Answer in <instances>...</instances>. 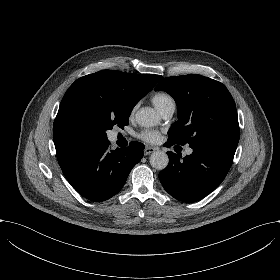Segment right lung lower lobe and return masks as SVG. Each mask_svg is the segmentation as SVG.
<instances>
[{
  "instance_id": "obj_1",
  "label": "right lung lower lobe",
  "mask_w": 280,
  "mask_h": 280,
  "mask_svg": "<svg viewBox=\"0 0 280 280\" xmlns=\"http://www.w3.org/2000/svg\"><path fill=\"white\" fill-rule=\"evenodd\" d=\"M144 145L109 151V141L90 144L59 161L70 185L90 201H105L117 194L129 172L143 157Z\"/></svg>"
}]
</instances>
